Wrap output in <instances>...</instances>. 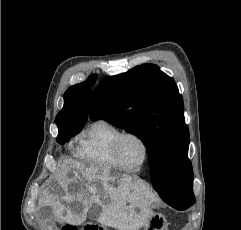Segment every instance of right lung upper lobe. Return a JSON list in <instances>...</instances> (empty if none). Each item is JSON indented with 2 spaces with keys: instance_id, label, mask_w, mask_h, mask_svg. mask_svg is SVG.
<instances>
[{
  "instance_id": "cb5924a9",
  "label": "right lung upper lobe",
  "mask_w": 241,
  "mask_h": 230,
  "mask_svg": "<svg viewBox=\"0 0 241 230\" xmlns=\"http://www.w3.org/2000/svg\"><path fill=\"white\" fill-rule=\"evenodd\" d=\"M96 78L97 75H92L87 81L66 90L64 93V106L56 117L57 126H84L88 117L91 86L95 83Z\"/></svg>"
}]
</instances>
